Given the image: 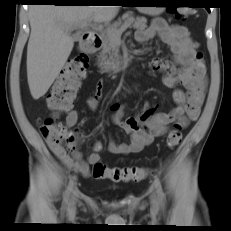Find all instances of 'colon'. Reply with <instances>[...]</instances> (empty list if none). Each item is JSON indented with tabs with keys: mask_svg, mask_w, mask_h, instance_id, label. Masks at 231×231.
I'll return each instance as SVG.
<instances>
[{
	"mask_svg": "<svg viewBox=\"0 0 231 231\" xmlns=\"http://www.w3.org/2000/svg\"><path fill=\"white\" fill-rule=\"evenodd\" d=\"M174 15L177 20L184 21L188 16V10L177 8L174 10ZM87 68L86 56L79 55L68 60L47 96V105L55 114L65 113L71 109L80 82L86 76ZM40 132L46 140L62 147H72L77 139L75 132L64 125L57 124L54 117H47L42 121ZM181 140L180 126L175 125L167 136V145L174 148L180 144ZM92 175L96 179L129 182L145 179L148 172L142 167H108L102 162H96L93 164Z\"/></svg>",
	"mask_w": 231,
	"mask_h": 231,
	"instance_id": "colon-1",
	"label": "colon"
}]
</instances>
